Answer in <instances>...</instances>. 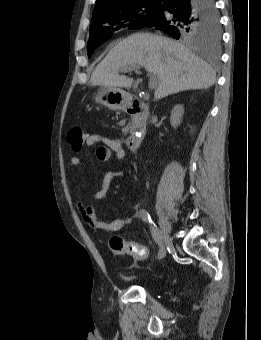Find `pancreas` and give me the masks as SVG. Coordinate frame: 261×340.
I'll list each match as a JSON object with an SVG mask.
<instances>
[{
    "instance_id": "obj_1",
    "label": "pancreas",
    "mask_w": 261,
    "mask_h": 340,
    "mask_svg": "<svg viewBox=\"0 0 261 340\" xmlns=\"http://www.w3.org/2000/svg\"><path fill=\"white\" fill-rule=\"evenodd\" d=\"M122 132H123V134H126V133H127V129L124 128V129L122 130Z\"/></svg>"
}]
</instances>
